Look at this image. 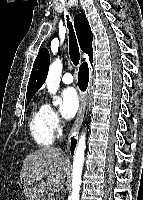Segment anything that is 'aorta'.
I'll return each mask as SVG.
<instances>
[{
    "label": "aorta",
    "mask_w": 143,
    "mask_h": 200,
    "mask_svg": "<svg viewBox=\"0 0 143 200\" xmlns=\"http://www.w3.org/2000/svg\"><path fill=\"white\" fill-rule=\"evenodd\" d=\"M62 72V61L60 59H56L50 65L49 72L46 78V85L48 88V92L53 94V104L58 105L60 103V99L55 96L60 83V76ZM86 139L85 133H82L80 136L77 147L73 157V166H72V193L71 200H79L80 197V185H81V177L82 170L84 165V154L86 148Z\"/></svg>",
    "instance_id": "aorta-1"
}]
</instances>
